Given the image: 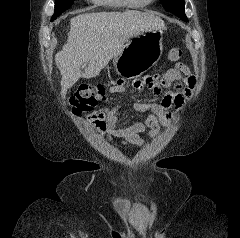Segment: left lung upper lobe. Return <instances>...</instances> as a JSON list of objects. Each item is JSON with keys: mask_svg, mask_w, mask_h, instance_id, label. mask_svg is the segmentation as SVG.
I'll use <instances>...</instances> for the list:
<instances>
[{"mask_svg": "<svg viewBox=\"0 0 240 238\" xmlns=\"http://www.w3.org/2000/svg\"><path fill=\"white\" fill-rule=\"evenodd\" d=\"M163 7L178 16L183 21L188 22L185 15L184 0H161Z\"/></svg>", "mask_w": 240, "mask_h": 238, "instance_id": "1", "label": "left lung upper lobe"}]
</instances>
